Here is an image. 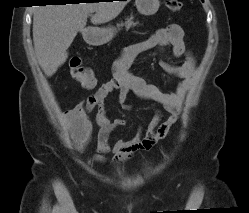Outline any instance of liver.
<instances>
[{"label": "liver", "mask_w": 249, "mask_h": 213, "mask_svg": "<svg viewBox=\"0 0 249 213\" xmlns=\"http://www.w3.org/2000/svg\"><path fill=\"white\" fill-rule=\"evenodd\" d=\"M127 2V1H126ZM125 1L37 6L33 16V42L38 63L47 77L56 73L67 58V49L82 31L90 13L91 22L106 23L117 17Z\"/></svg>", "instance_id": "obj_1"}]
</instances>
